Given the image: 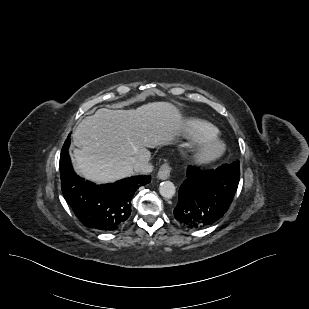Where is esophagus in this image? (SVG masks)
Returning <instances> with one entry per match:
<instances>
[{
  "label": "esophagus",
  "mask_w": 309,
  "mask_h": 309,
  "mask_svg": "<svg viewBox=\"0 0 309 309\" xmlns=\"http://www.w3.org/2000/svg\"><path fill=\"white\" fill-rule=\"evenodd\" d=\"M171 167L169 163H164L160 166L158 171V178L161 180L168 179L170 176Z\"/></svg>",
  "instance_id": "obj_1"
}]
</instances>
